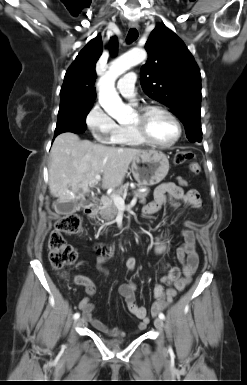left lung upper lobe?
Segmentation results:
<instances>
[{
	"mask_svg": "<svg viewBox=\"0 0 247 385\" xmlns=\"http://www.w3.org/2000/svg\"><path fill=\"white\" fill-rule=\"evenodd\" d=\"M148 60L141 68V86L168 106L185 126L190 141L202 140L201 75L183 41L163 24L150 34Z\"/></svg>",
	"mask_w": 247,
	"mask_h": 385,
	"instance_id": "1",
	"label": "left lung upper lobe"
}]
</instances>
